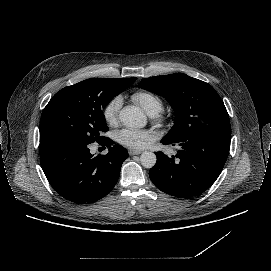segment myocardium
Returning <instances> with one entry per match:
<instances>
[{
  "instance_id": "obj_1",
  "label": "myocardium",
  "mask_w": 271,
  "mask_h": 271,
  "mask_svg": "<svg viewBox=\"0 0 271 271\" xmlns=\"http://www.w3.org/2000/svg\"><path fill=\"white\" fill-rule=\"evenodd\" d=\"M151 118L157 126L162 125L167 120V117L162 111L151 114Z\"/></svg>"
}]
</instances>
